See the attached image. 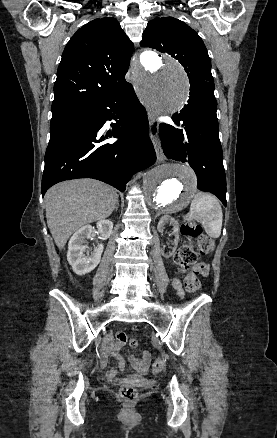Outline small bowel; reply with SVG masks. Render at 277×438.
<instances>
[{
    "label": "small bowel",
    "mask_w": 277,
    "mask_h": 438,
    "mask_svg": "<svg viewBox=\"0 0 277 438\" xmlns=\"http://www.w3.org/2000/svg\"><path fill=\"white\" fill-rule=\"evenodd\" d=\"M173 285H174L175 289L178 291V293L182 294L180 281L175 279L173 281ZM114 342H115V337L114 336H109L107 338V341L104 342V344H103L104 352L101 355V359L102 360H100V362H99L100 367H102V368L107 367L108 362L105 359L113 357L115 355L117 357L120 365H121V368H123L124 358L122 356L118 355L117 349L118 350L124 349L125 344L122 341H118V342H115V343ZM112 343H114V344H112ZM129 360L132 363V365L134 366V368L139 373H144L146 371V369L148 367V363L150 361V353L148 351H143L142 354L139 357L130 356ZM106 376L110 380H116V378H117L116 377V372L114 370L108 371L106 373Z\"/></svg>",
    "instance_id": "obj_1"
}]
</instances>
